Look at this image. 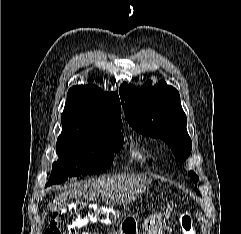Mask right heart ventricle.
Returning <instances> with one entry per match:
<instances>
[{"label": "right heart ventricle", "mask_w": 241, "mask_h": 234, "mask_svg": "<svg viewBox=\"0 0 241 234\" xmlns=\"http://www.w3.org/2000/svg\"><path fill=\"white\" fill-rule=\"evenodd\" d=\"M131 156L132 158L142 164H147L149 162V157L148 155L145 153V151L139 147L138 144H133L131 147Z\"/></svg>", "instance_id": "1"}]
</instances>
